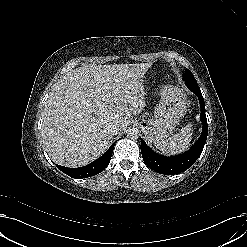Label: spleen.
Returning <instances> with one entry per match:
<instances>
[{"mask_svg": "<svg viewBox=\"0 0 247 247\" xmlns=\"http://www.w3.org/2000/svg\"><path fill=\"white\" fill-rule=\"evenodd\" d=\"M192 140V125L187 124L180 132L166 140L155 142V147L165 154H179L189 148Z\"/></svg>", "mask_w": 247, "mask_h": 247, "instance_id": "3e777b00", "label": "spleen"}]
</instances>
